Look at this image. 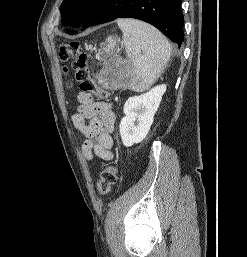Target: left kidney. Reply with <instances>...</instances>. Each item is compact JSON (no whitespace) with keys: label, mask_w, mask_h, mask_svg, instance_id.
<instances>
[{"label":"left kidney","mask_w":247,"mask_h":257,"mask_svg":"<svg viewBox=\"0 0 247 257\" xmlns=\"http://www.w3.org/2000/svg\"><path fill=\"white\" fill-rule=\"evenodd\" d=\"M166 85H157L148 92L128 98L123 107L119 132L124 146L140 143L148 134L160 105Z\"/></svg>","instance_id":"1"}]
</instances>
